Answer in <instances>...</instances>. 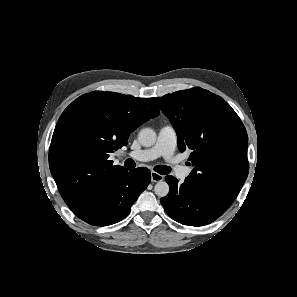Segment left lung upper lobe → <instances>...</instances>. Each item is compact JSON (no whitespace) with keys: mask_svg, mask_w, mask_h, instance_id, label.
I'll return each mask as SVG.
<instances>
[{"mask_svg":"<svg viewBox=\"0 0 297 297\" xmlns=\"http://www.w3.org/2000/svg\"><path fill=\"white\" fill-rule=\"evenodd\" d=\"M152 99L170 118L179 150H192L194 168L185 183L227 210L249 172L248 136L239 116L222 97L199 87Z\"/></svg>","mask_w":297,"mask_h":297,"instance_id":"obj_1","label":"left lung upper lobe"}]
</instances>
